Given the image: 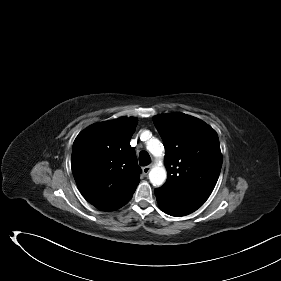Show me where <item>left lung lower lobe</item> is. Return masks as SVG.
<instances>
[{
  "label": "left lung lower lobe",
  "instance_id": "obj_1",
  "mask_svg": "<svg viewBox=\"0 0 281 281\" xmlns=\"http://www.w3.org/2000/svg\"><path fill=\"white\" fill-rule=\"evenodd\" d=\"M161 209L171 216H185L200 208L205 201L194 198L190 193L158 188L155 190Z\"/></svg>",
  "mask_w": 281,
  "mask_h": 281
}]
</instances>
